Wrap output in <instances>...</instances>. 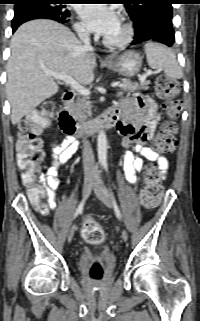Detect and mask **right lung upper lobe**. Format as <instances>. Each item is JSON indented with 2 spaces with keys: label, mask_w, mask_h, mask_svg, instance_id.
<instances>
[{
  "label": "right lung upper lobe",
  "mask_w": 200,
  "mask_h": 321,
  "mask_svg": "<svg viewBox=\"0 0 200 321\" xmlns=\"http://www.w3.org/2000/svg\"><path fill=\"white\" fill-rule=\"evenodd\" d=\"M17 1L21 2V1H24V0H17Z\"/></svg>",
  "instance_id": "right-lung-upper-lobe-1"
}]
</instances>
